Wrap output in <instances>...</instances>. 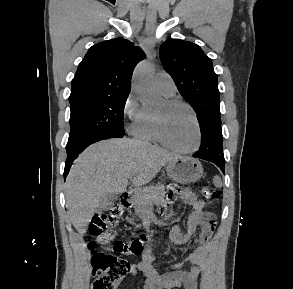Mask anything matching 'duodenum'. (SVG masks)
<instances>
[{
	"instance_id": "obj_1",
	"label": "duodenum",
	"mask_w": 293,
	"mask_h": 289,
	"mask_svg": "<svg viewBox=\"0 0 293 289\" xmlns=\"http://www.w3.org/2000/svg\"><path fill=\"white\" fill-rule=\"evenodd\" d=\"M131 200H132V193L124 192L120 196V205L123 208H128L131 205Z\"/></svg>"
}]
</instances>
